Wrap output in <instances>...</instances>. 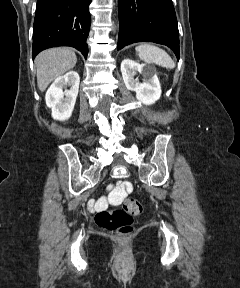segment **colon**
Masks as SVG:
<instances>
[{
  "label": "colon",
  "mask_w": 240,
  "mask_h": 288,
  "mask_svg": "<svg viewBox=\"0 0 240 288\" xmlns=\"http://www.w3.org/2000/svg\"><path fill=\"white\" fill-rule=\"evenodd\" d=\"M123 187L127 191H131L132 189L131 184L127 182L123 184ZM141 212V203L134 198H129L121 209L99 211L95 216V221L99 227L107 231H116L124 234L132 230L133 217L138 216Z\"/></svg>",
  "instance_id": "colon-1"
}]
</instances>
